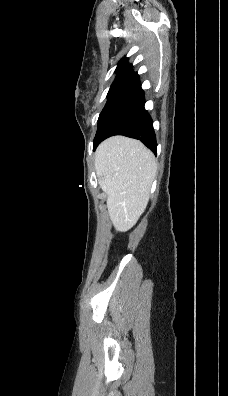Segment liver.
Wrapping results in <instances>:
<instances>
[{"mask_svg": "<svg viewBox=\"0 0 228 396\" xmlns=\"http://www.w3.org/2000/svg\"><path fill=\"white\" fill-rule=\"evenodd\" d=\"M95 170L107 194L110 220L117 230H129L149 201L157 172L154 154L138 140L110 137L95 152Z\"/></svg>", "mask_w": 228, "mask_h": 396, "instance_id": "obj_1", "label": "liver"}]
</instances>
